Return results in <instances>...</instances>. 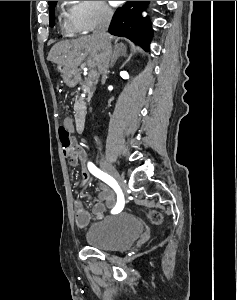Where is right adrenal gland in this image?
<instances>
[{
    "label": "right adrenal gland",
    "mask_w": 237,
    "mask_h": 300,
    "mask_svg": "<svg viewBox=\"0 0 237 300\" xmlns=\"http://www.w3.org/2000/svg\"><path fill=\"white\" fill-rule=\"evenodd\" d=\"M121 55H126V47L124 45H115L109 67H114L118 57H121Z\"/></svg>",
    "instance_id": "2a0ac1e0"
}]
</instances>
